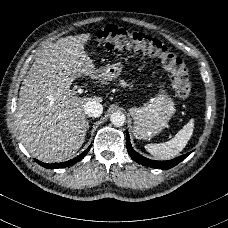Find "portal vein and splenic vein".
Wrapping results in <instances>:
<instances>
[{
  "label": "portal vein and splenic vein",
  "mask_w": 228,
  "mask_h": 228,
  "mask_svg": "<svg viewBox=\"0 0 228 228\" xmlns=\"http://www.w3.org/2000/svg\"><path fill=\"white\" fill-rule=\"evenodd\" d=\"M74 92H75L77 95H82V94H83V88L80 87V86H75V87H74Z\"/></svg>",
  "instance_id": "18ae733b"
}]
</instances>
